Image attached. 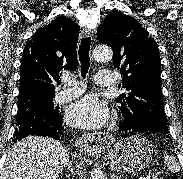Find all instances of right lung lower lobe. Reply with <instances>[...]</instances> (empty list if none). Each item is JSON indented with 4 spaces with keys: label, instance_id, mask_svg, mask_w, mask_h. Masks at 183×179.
Returning a JSON list of instances; mask_svg holds the SVG:
<instances>
[{
    "label": "right lung lower lobe",
    "instance_id": "98d812e1",
    "mask_svg": "<svg viewBox=\"0 0 183 179\" xmlns=\"http://www.w3.org/2000/svg\"><path fill=\"white\" fill-rule=\"evenodd\" d=\"M63 117L60 114L52 117H31L16 127L13 142H17L29 135L48 136L60 140L63 135Z\"/></svg>",
    "mask_w": 183,
    "mask_h": 179
}]
</instances>
